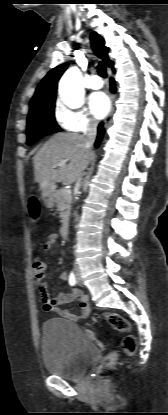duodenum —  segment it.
Segmentation results:
<instances>
[{
	"label": "duodenum",
	"instance_id": "410a0bca",
	"mask_svg": "<svg viewBox=\"0 0 168 415\" xmlns=\"http://www.w3.org/2000/svg\"><path fill=\"white\" fill-rule=\"evenodd\" d=\"M67 234H68V225H67V224H63V225L60 227V235H61L62 237H66V236H67Z\"/></svg>",
	"mask_w": 168,
	"mask_h": 415
}]
</instances>
